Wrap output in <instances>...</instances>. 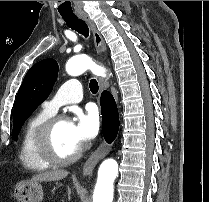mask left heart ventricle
<instances>
[{"mask_svg": "<svg viewBox=\"0 0 209 202\" xmlns=\"http://www.w3.org/2000/svg\"><path fill=\"white\" fill-rule=\"evenodd\" d=\"M54 151L62 156L68 157L77 151L79 145L73 140L68 121L60 123L52 136Z\"/></svg>", "mask_w": 209, "mask_h": 202, "instance_id": "1", "label": "left heart ventricle"}]
</instances>
